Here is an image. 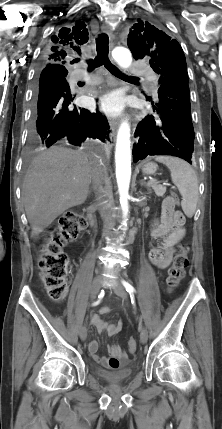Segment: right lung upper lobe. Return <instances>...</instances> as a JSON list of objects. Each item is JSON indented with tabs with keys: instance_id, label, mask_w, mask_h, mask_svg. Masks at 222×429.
Wrapping results in <instances>:
<instances>
[{
	"instance_id": "obj_1",
	"label": "right lung upper lobe",
	"mask_w": 222,
	"mask_h": 429,
	"mask_svg": "<svg viewBox=\"0 0 222 429\" xmlns=\"http://www.w3.org/2000/svg\"><path fill=\"white\" fill-rule=\"evenodd\" d=\"M53 45H49L44 51V61L47 64L57 66L61 74H67L65 68L68 58L74 52H80L79 45L88 41L87 30L77 24L70 28H62L57 36L52 37Z\"/></svg>"
}]
</instances>
